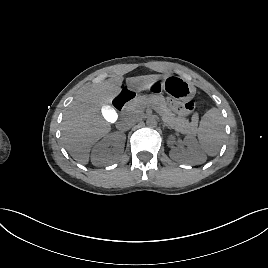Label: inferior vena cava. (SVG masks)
<instances>
[{"mask_svg": "<svg viewBox=\"0 0 268 268\" xmlns=\"http://www.w3.org/2000/svg\"><path fill=\"white\" fill-rule=\"evenodd\" d=\"M136 118L132 115L125 116L119 123H118V129L120 130H128L130 129L135 123Z\"/></svg>", "mask_w": 268, "mask_h": 268, "instance_id": "1", "label": "inferior vena cava"}]
</instances>
